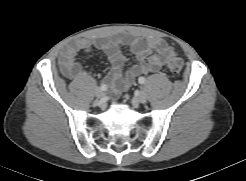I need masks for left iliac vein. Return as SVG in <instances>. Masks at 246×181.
<instances>
[{"instance_id": "4c4485c4", "label": "left iliac vein", "mask_w": 246, "mask_h": 181, "mask_svg": "<svg viewBox=\"0 0 246 181\" xmlns=\"http://www.w3.org/2000/svg\"><path fill=\"white\" fill-rule=\"evenodd\" d=\"M136 100L139 102V103H146L147 101V96H146V93L141 91L138 96L136 97Z\"/></svg>"}]
</instances>
